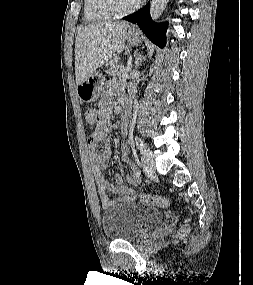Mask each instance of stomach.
I'll list each match as a JSON object with an SVG mask.
<instances>
[{
	"label": "stomach",
	"instance_id": "0dacf381",
	"mask_svg": "<svg viewBox=\"0 0 253 285\" xmlns=\"http://www.w3.org/2000/svg\"><path fill=\"white\" fill-rule=\"evenodd\" d=\"M126 39L129 45L137 46L141 43V37L138 31L129 30L126 34ZM104 84V79L101 74L95 72L83 83L77 86V95L82 102H94L100 94Z\"/></svg>",
	"mask_w": 253,
	"mask_h": 285
}]
</instances>
